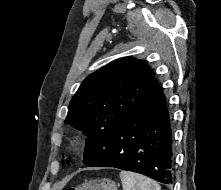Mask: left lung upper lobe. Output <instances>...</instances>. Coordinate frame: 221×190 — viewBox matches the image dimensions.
<instances>
[{"label":"left lung upper lobe","instance_id":"left-lung-upper-lobe-1","mask_svg":"<svg viewBox=\"0 0 221 190\" xmlns=\"http://www.w3.org/2000/svg\"><path fill=\"white\" fill-rule=\"evenodd\" d=\"M157 86L148 65L131 57L109 63L82 82L64 122L87 134L85 164L103 152L117 126L141 107Z\"/></svg>","mask_w":221,"mask_h":190}]
</instances>
